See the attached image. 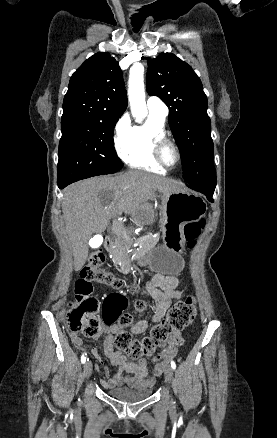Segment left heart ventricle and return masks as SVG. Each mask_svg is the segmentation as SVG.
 I'll return each instance as SVG.
<instances>
[{
    "label": "left heart ventricle",
    "mask_w": 277,
    "mask_h": 438,
    "mask_svg": "<svg viewBox=\"0 0 277 438\" xmlns=\"http://www.w3.org/2000/svg\"><path fill=\"white\" fill-rule=\"evenodd\" d=\"M164 158L166 162L170 165L175 163L176 160V154L172 147H167L164 151Z\"/></svg>",
    "instance_id": "b2bd125f"
}]
</instances>
